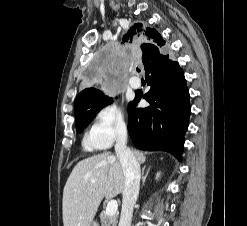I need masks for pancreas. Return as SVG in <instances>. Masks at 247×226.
Masks as SVG:
<instances>
[{
    "label": "pancreas",
    "mask_w": 247,
    "mask_h": 226,
    "mask_svg": "<svg viewBox=\"0 0 247 226\" xmlns=\"http://www.w3.org/2000/svg\"><path fill=\"white\" fill-rule=\"evenodd\" d=\"M118 214L107 215L105 211L100 213V223L101 226H117L118 223Z\"/></svg>",
    "instance_id": "pancreas-1"
}]
</instances>
